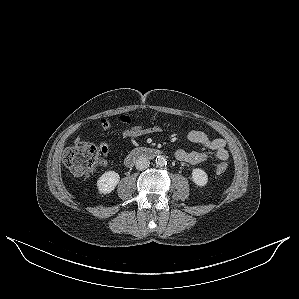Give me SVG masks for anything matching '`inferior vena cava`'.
<instances>
[{
    "label": "inferior vena cava",
    "mask_w": 299,
    "mask_h": 299,
    "mask_svg": "<svg viewBox=\"0 0 299 299\" xmlns=\"http://www.w3.org/2000/svg\"><path fill=\"white\" fill-rule=\"evenodd\" d=\"M149 165H150V161L145 157H139L136 160V164H135L136 169L140 171L147 169Z\"/></svg>",
    "instance_id": "1"
}]
</instances>
